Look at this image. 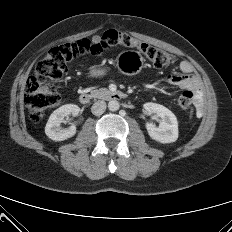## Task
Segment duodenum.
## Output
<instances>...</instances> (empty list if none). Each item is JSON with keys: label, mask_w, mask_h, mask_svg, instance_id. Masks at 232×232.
Returning a JSON list of instances; mask_svg holds the SVG:
<instances>
[{"label": "duodenum", "mask_w": 232, "mask_h": 232, "mask_svg": "<svg viewBox=\"0 0 232 232\" xmlns=\"http://www.w3.org/2000/svg\"><path fill=\"white\" fill-rule=\"evenodd\" d=\"M101 97H104L108 100H120L125 97V94L121 91H108L100 94ZM94 97V94L91 92L82 93L79 97V101L83 105H87Z\"/></svg>", "instance_id": "410a0bca"}]
</instances>
